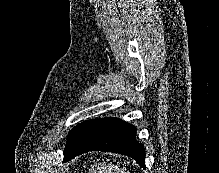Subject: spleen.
Segmentation results:
<instances>
[{
	"label": "spleen",
	"mask_w": 219,
	"mask_h": 173,
	"mask_svg": "<svg viewBox=\"0 0 219 173\" xmlns=\"http://www.w3.org/2000/svg\"><path fill=\"white\" fill-rule=\"evenodd\" d=\"M91 172L93 173H129L124 169H120L118 166H101L97 167V169H92Z\"/></svg>",
	"instance_id": "obj_1"
}]
</instances>
